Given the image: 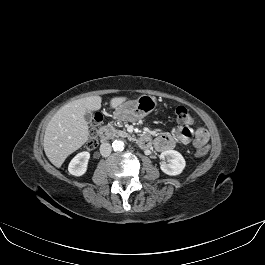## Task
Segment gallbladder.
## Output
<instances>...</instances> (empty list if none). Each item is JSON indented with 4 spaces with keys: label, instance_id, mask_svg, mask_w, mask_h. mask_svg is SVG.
Segmentation results:
<instances>
[{
    "label": "gallbladder",
    "instance_id": "obj_1",
    "mask_svg": "<svg viewBox=\"0 0 265 265\" xmlns=\"http://www.w3.org/2000/svg\"><path fill=\"white\" fill-rule=\"evenodd\" d=\"M84 118L86 120L87 123H91L92 120H93V115H92V112L87 110L85 115H84Z\"/></svg>",
    "mask_w": 265,
    "mask_h": 265
}]
</instances>
